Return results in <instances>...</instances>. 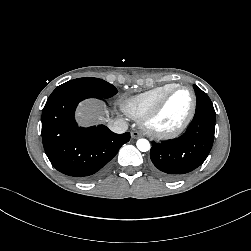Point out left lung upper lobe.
<instances>
[{
  "label": "left lung upper lobe",
  "mask_w": 251,
  "mask_h": 251,
  "mask_svg": "<svg viewBox=\"0 0 251 251\" xmlns=\"http://www.w3.org/2000/svg\"><path fill=\"white\" fill-rule=\"evenodd\" d=\"M194 90L197 96V105H196V112H206L210 114H215V110L213 104L208 97V95L203 92L199 87L196 85L194 86Z\"/></svg>",
  "instance_id": "5c2ea615"
}]
</instances>
